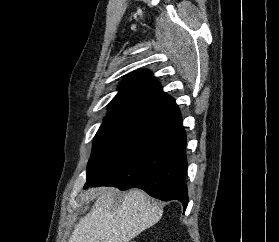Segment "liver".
Instances as JSON below:
<instances>
[{"label": "liver", "instance_id": "6515ba94", "mask_svg": "<svg viewBox=\"0 0 279 242\" xmlns=\"http://www.w3.org/2000/svg\"><path fill=\"white\" fill-rule=\"evenodd\" d=\"M117 191L96 190L91 211L79 220L68 242H129L162 217V208L138 189L122 195L114 206Z\"/></svg>", "mask_w": 279, "mask_h": 242}]
</instances>
